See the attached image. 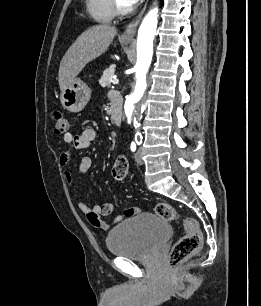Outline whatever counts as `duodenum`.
Wrapping results in <instances>:
<instances>
[{"mask_svg":"<svg viewBox=\"0 0 261 306\" xmlns=\"http://www.w3.org/2000/svg\"><path fill=\"white\" fill-rule=\"evenodd\" d=\"M110 118L111 120L117 124L120 125L122 122V103L120 99H113L111 106H110Z\"/></svg>","mask_w":261,"mask_h":306,"instance_id":"410a0bca","label":"duodenum"}]
</instances>
